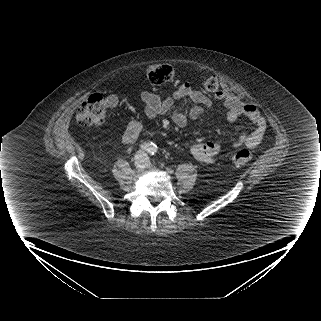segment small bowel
I'll use <instances>...</instances> for the list:
<instances>
[{"instance_id":"1","label":"small bowel","mask_w":321,"mask_h":321,"mask_svg":"<svg viewBox=\"0 0 321 321\" xmlns=\"http://www.w3.org/2000/svg\"><path fill=\"white\" fill-rule=\"evenodd\" d=\"M188 98L194 105L190 108L188 114L182 112H174L172 121L179 127H184L189 119H197L200 117L205 108L212 105L213 101H220L226 108V120L234 121L240 116L247 118L251 124V128L244 130L229 144L231 148L245 146L254 149L260 145L266 130V119L261 115L258 108L252 104L244 103L237 97L224 91H217L212 97L208 96L201 90L194 89L189 83H182L172 94L165 98H161L155 93L145 92L142 99L145 104V114L149 119L155 118L159 114H164L171 110L177 101ZM106 104L113 108L118 104L116 94H109L106 97ZM142 124L138 119L129 122L123 136L122 141L125 144L133 143L137 140L141 133ZM222 145L216 141H207L197 143L190 147V154L198 161L213 164L217 156L222 151Z\"/></svg>"}]
</instances>
